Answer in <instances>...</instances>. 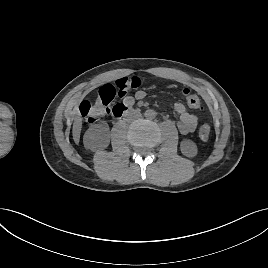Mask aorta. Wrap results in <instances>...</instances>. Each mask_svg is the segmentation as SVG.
Masks as SVG:
<instances>
[{
  "instance_id": "1",
  "label": "aorta",
  "mask_w": 268,
  "mask_h": 268,
  "mask_svg": "<svg viewBox=\"0 0 268 268\" xmlns=\"http://www.w3.org/2000/svg\"><path fill=\"white\" fill-rule=\"evenodd\" d=\"M144 116H145L147 119L152 120V119L155 118V116H156V112H155L154 110L149 109V110H146V111H145Z\"/></svg>"
}]
</instances>
